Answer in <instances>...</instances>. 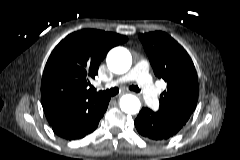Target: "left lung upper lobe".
<instances>
[{"label":"left lung upper lobe","mask_w":240,"mask_h":160,"mask_svg":"<svg viewBox=\"0 0 240 160\" xmlns=\"http://www.w3.org/2000/svg\"><path fill=\"white\" fill-rule=\"evenodd\" d=\"M155 75L167 83L160 95L159 112L185 125L195 110L199 95L198 77L186 50L162 31L139 34Z\"/></svg>","instance_id":"5c2ea615"}]
</instances>
